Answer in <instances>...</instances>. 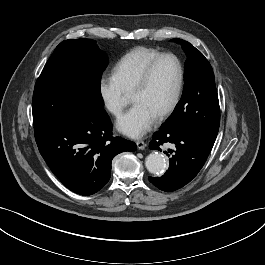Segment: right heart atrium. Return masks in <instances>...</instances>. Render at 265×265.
Masks as SVG:
<instances>
[{"label":"right heart atrium","mask_w":265,"mask_h":265,"mask_svg":"<svg viewBox=\"0 0 265 265\" xmlns=\"http://www.w3.org/2000/svg\"><path fill=\"white\" fill-rule=\"evenodd\" d=\"M100 99L108 112L114 116L122 113L128 95L122 90L113 75H103L98 84Z\"/></svg>","instance_id":"1"}]
</instances>
